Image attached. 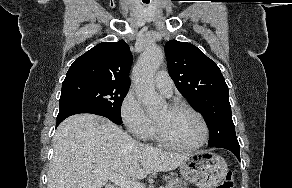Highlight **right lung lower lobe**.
<instances>
[{"label": "right lung lower lobe", "mask_w": 292, "mask_h": 188, "mask_svg": "<svg viewBox=\"0 0 292 188\" xmlns=\"http://www.w3.org/2000/svg\"><path fill=\"white\" fill-rule=\"evenodd\" d=\"M79 113H92V114H96V115H101V116L107 117L112 122H114V123H116L118 125L122 124V121L115 120L113 118H110L108 116H105V115H103L101 113H98L96 111H93V110H91L89 108H86L84 106L69 105V106L60 107L59 114L57 116V125L56 126H58L67 117H69L71 115H74V114H79Z\"/></svg>", "instance_id": "1"}]
</instances>
